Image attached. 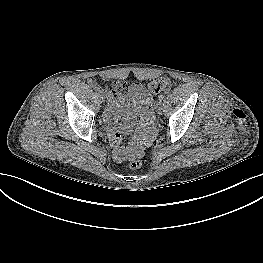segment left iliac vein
Returning <instances> with one entry per match:
<instances>
[{"label": "left iliac vein", "instance_id": "obj_1", "mask_svg": "<svg viewBox=\"0 0 263 263\" xmlns=\"http://www.w3.org/2000/svg\"><path fill=\"white\" fill-rule=\"evenodd\" d=\"M154 101L161 103L163 101V98L161 96H154Z\"/></svg>", "mask_w": 263, "mask_h": 263}]
</instances>
